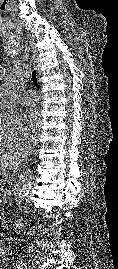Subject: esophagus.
Wrapping results in <instances>:
<instances>
[{"label": "esophagus", "instance_id": "1", "mask_svg": "<svg viewBox=\"0 0 118 269\" xmlns=\"http://www.w3.org/2000/svg\"><path fill=\"white\" fill-rule=\"evenodd\" d=\"M32 58H33V61H34V65L36 66V71H37L38 75H40L39 63L37 61V55H36L35 52L33 53Z\"/></svg>", "mask_w": 118, "mask_h": 269}]
</instances>
